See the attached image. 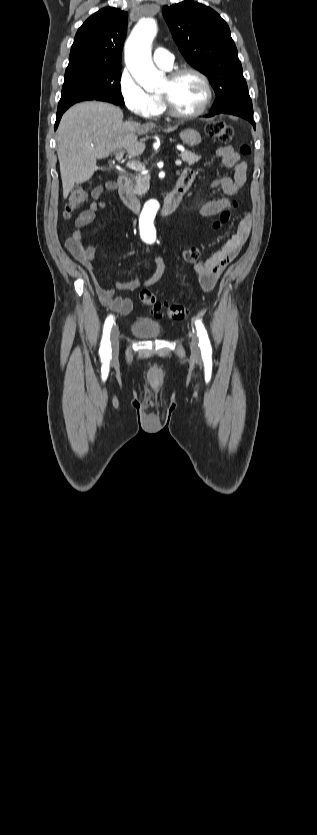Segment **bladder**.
I'll return each instance as SVG.
<instances>
[{"label": "bladder", "instance_id": "obj_1", "mask_svg": "<svg viewBox=\"0 0 317 835\" xmlns=\"http://www.w3.org/2000/svg\"><path fill=\"white\" fill-rule=\"evenodd\" d=\"M132 333L140 338H157L161 334V325L152 318H138L131 326Z\"/></svg>", "mask_w": 317, "mask_h": 835}]
</instances>
